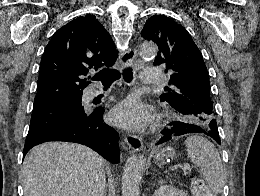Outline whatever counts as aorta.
Returning a JSON list of instances; mask_svg holds the SVG:
<instances>
[{
	"label": "aorta",
	"mask_w": 260,
	"mask_h": 196,
	"mask_svg": "<svg viewBox=\"0 0 260 196\" xmlns=\"http://www.w3.org/2000/svg\"><path fill=\"white\" fill-rule=\"evenodd\" d=\"M158 47L152 42H145L140 47V56L144 59L154 58ZM146 160L141 155H131L125 166L122 176V196H139V184L142 179Z\"/></svg>",
	"instance_id": "obj_1"
}]
</instances>
